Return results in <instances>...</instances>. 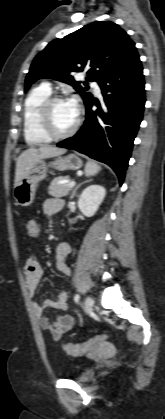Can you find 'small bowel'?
I'll return each mask as SVG.
<instances>
[{
    "mask_svg": "<svg viewBox=\"0 0 165 419\" xmlns=\"http://www.w3.org/2000/svg\"><path fill=\"white\" fill-rule=\"evenodd\" d=\"M64 203L57 198L46 199L43 203V211L46 215L52 216L58 214L63 209ZM36 233L32 234L28 227V234L35 238L39 235L40 229L38 224ZM71 246L68 243H60L55 250V267L58 273L63 276H69L71 270L67 264V259L71 254ZM25 283L28 293L32 299L36 296L38 284L42 274V265L39 259L33 255L28 258L25 265ZM68 293L62 290L58 293L57 298L46 299L43 302L33 301V308L38 318L40 327L48 331L51 337L58 341L62 336L69 332L75 325L76 319L73 315H57L55 318H50L46 314L47 309H55L57 311H66L68 308Z\"/></svg>",
    "mask_w": 165,
    "mask_h": 419,
    "instance_id": "obj_1",
    "label": "small bowel"
}]
</instances>
